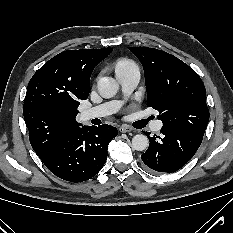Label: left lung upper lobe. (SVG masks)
<instances>
[{
  "label": "left lung upper lobe",
  "mask_w": 233,
  "mask_h": 233,
  "mask_svg": "<svg viewBox=\"0 0 233 233\" xmlns=\"http://www.w3.org/2000/svg\"><path fill=\"white\" fill-rule=\"evenodd\" d=\"M145 72L148 106L159 111L164 126L200 137L209 120L206 90L199 75L177 57L162 50L130 47Z\"/></svg>",
  "instance_id": "5c2ea615"
}]
</instances>
